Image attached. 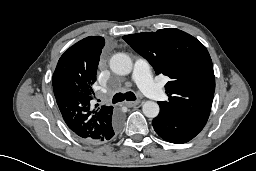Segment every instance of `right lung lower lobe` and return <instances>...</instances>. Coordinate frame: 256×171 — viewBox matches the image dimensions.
Segmentation results:
<instances>
[{"label":"right lung lower lobe","instance_id":"1","mask_svg":"<svg viewBox=\"0 0 256 171\" xmlns=\"http://www.w3.org/2000/svg\"><path fill=\"white\" fill-rule=\"evenodd\" d=\"M121 126V117L118 114H115L112 119L111 122L109 123V127L107 132L105 133V135L103 136L102 139H99L97 141H87L90 143H104L107 140H110L115 133H117L120 129Z\"/></svg>","mask_w":256,"mask_h":171}]
</instances>
